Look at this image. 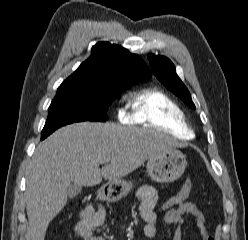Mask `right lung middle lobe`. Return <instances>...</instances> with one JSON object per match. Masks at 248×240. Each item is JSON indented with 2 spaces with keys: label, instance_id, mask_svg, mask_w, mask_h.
I'll list each match as a JSON object with an SVG mask.
<instances>
[{
  "label": "right lung middle lobe",
  "instance_id": "1",
  "mask_svg": "<svg viewBox=\"0 0 248 240\" xmlns=\"http://www.w3.org/2000/svg\"><path fill=\"white\" fill-rule=\"evenodd\" d=\"M135 82L105 89H58L42 130L45 138L61 126L81 121H106L107 108L117 95Z\"/></svg>",
  "mask_w": 248,
  "mask_h": 240
}]
</instances>
